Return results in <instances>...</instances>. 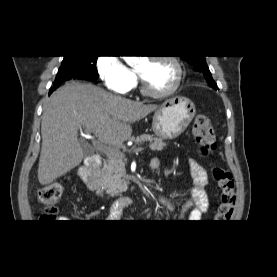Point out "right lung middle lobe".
<instances>
[{"mask_svg": "<svg viewBox=\"0 0 277 277\" xmlns=\"http://www.w3.org/2000/svg\"><path fill=\"white\" fill-rule=\"evenodd\" d=\"M98 56H64L58 74L72 72L96 81Z\"/></svg>", "mask_w": 277, "mask_h": 277, "instance_id": "dd1d6c3e", "label": "right lung middle lobe"}]
</instances>
